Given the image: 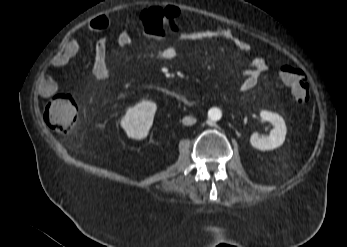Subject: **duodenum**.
<instances>
[{"mask_svg":"<svg viewBox=\"0 0 347 247\" xmlns=\"http://www.w3.org/2000/svg\"><path fill=\"white\" fill-rule=\"evenodd\" d=\"M171 97H173L174 99H176L177 101H180L181 103L185 105L194 103L193 101L186 99L185 96H183L182 94L178 92H172Z\"/></svg>","mask_w":347,"mask_h":247,"instance_id":"1","label":"duodenum"}]
</instances>
